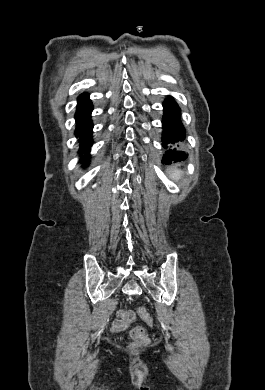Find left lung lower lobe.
Here are the masks:
<instances>
[{
  "label": "left lung lower lobe",
  "mask_w": 265,
  "mask_h": 390,
  "mask_svg": "<svg viewBox=\"0 0 265 390\" xmlns=\"http://www.w3.org/2000/svg\"><path fill=\"white\" fill-rule=\"evenodd\" d=\"M162 146L165 149L162 163L186 160L188 154L182 150L181 142L185 140V129L180 120V108L170 97L163 103Z\"/></svg>",
  "instance_id": "obj_1"
}]
</instances>
